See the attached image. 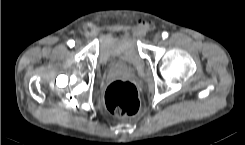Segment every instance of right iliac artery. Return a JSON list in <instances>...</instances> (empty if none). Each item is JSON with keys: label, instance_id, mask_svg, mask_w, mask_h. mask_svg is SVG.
I'll list each match as a JSON object with an SVG mask.
<instances>
[{"label": "right iliac artery", "instance_id": "obj_1", "mask_svg": "<svg viewBox=\"0 0 245 145\" xmlns=\"http://www.w3.org/2000/svg\"><path fill=\"white\" fill-rule=\"evenodd\" d=\"M67 44H68V46L69 47H73L74 45H75V42H74V40H69L68 42H67Z\"/></svg>", "mask_w": 245, "mask_h": 145}]
</instances>
